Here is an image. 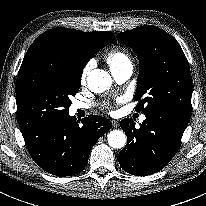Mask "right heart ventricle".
<instances>
[{"instance_id":"1","label":"right heart ventricle","mask_w":206,"mask_h":206,"mask_svg":"<svg viewBox=\"0 0 206 206\" xmlns=\"http://www.w3.org/2000/svg\"><path fill=\"white\" fill-rule=\"evenodd\" d=\"M106 62L110 70H115L125 65H132L131 57L128 51L118 48L114 49L106 55Z\"/></svg>"}]
</instances>
